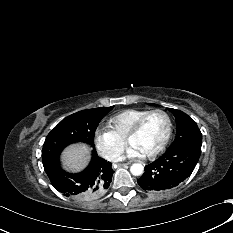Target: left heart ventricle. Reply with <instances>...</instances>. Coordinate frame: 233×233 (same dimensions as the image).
Wrapping results in <instances>:
<instances>
[{
    "mask_svg": "<svg viewBox=\"0 0 233 233\" xmlns=\"http://www.w3.org/2000/svg\"><path fill=\"white\" fill-rule=\"evenodd\" d=\"M167 119L161 113L150 115L141 130L130 139V145L136 147L143 155L155 150L167 133Z\"/></svg>",
    "mask_w": 233,
    "mask_h": 233,
    "instance_id": "b2bd125f",
    "label": "left heart ventricle"
}]
</instances>
